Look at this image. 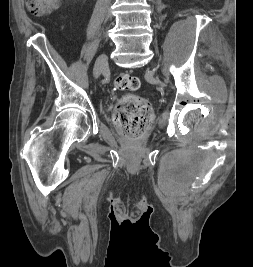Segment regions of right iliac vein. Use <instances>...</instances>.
Here are the masks:
<instances>
[{
  "label": "right iliac vein",
  "mask_w": 253,
  "mask_h": 267,
  "mask_svg": "<svg viewBox=\"0 0 253 267\" xmlns=\"http://www.w3.org/2000/svg\"><path fill=\"white\" fill-rule=\"evenodd\" d=\"M107 62H108V59H107L106 54H102L97 58V61L95 63V67H94L95 77H97L100 74V72L106 67Z\"/></svg>",
  "instance_id": "obj_1"
}]
</instances>
